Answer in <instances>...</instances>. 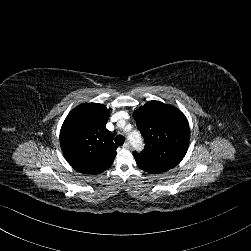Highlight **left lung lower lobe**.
<instances>
[{
	"mask_svg": "<svg viewBox=\"0 0 251 251\" xmlns=\"http://www.w3.org/2000/svg\"><path fill=\"white\" fill-rule=\"evenodd\" d=\"M137 165L139 166L140 169L144 170L145 172L148 173H153V174H158L162 173L165 171H168V169L159 167V166H154L145 162H141L139 160H136Z\"/></svg>",
	"mask_w": 251,
	"mask_h": 251,
	"instance_id": "left-lung-lower-lobe-1",
	"label": "left lung lower lobe"
}]
</instances>
